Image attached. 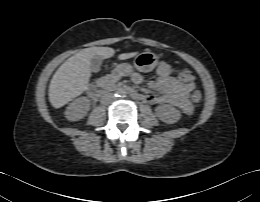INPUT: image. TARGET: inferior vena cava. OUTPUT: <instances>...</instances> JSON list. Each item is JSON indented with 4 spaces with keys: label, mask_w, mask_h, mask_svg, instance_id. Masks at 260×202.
<instances>
[{
    "label": "inferior vena cava",
    "mask_w": 260,
    "mask_h": 202,
    "mask_svg": "<svg viewBox=\"0 0 260 202\" xmlns=\"http://www.w3.org/2000/svg\"><path fill=\"white\" fill-rule=\"evenodd\" d=\"M115 100V96L112 93H108L102 96L101 103L108 105Z\"/></svg>",
    "instance_id": "602c4592"
}]
</instances>
